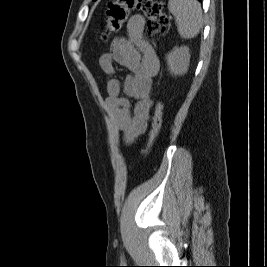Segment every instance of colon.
Listing matches in <instances>:
<instances>
[{
    "label": "colon",
    "mask_w": 267,
    "mask_h": 267,
    "mask_svg": "<svg viewBox=\"0 0 267 267\" xmlns=\"http://www.w3.org/2000/svg\"><path fill=\"white\" fill-rule=\"evenodd\" d=\"M140 11L147 19V30L151 35L164 34L169 30L170 21L163 12V5L156 0H112L106 11L105 31L103 38L118 33L123 28L130 13ZM163 122V106L158 102L152 117V127L146 145L142 149L143 156H147L158 137Z\"/></svg>",
    "instance_id": "5ec220e1"
}]
</instances>
